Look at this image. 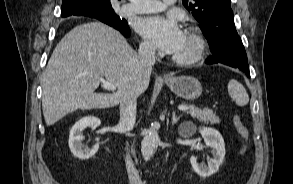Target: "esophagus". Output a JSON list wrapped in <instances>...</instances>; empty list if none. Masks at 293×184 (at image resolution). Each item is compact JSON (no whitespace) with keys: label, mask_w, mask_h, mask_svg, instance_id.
<instances>
[{"label":"esophagus","mask_w":293,"mask_h":184,"mask_svg":"<svg viewBox=\"0 0 293 184\" xmlns=\"http://www.w3.org/2000/svg\"><path fill=\"white\" fill-rule=\"evenodd\" d=\"M170 76L168 74H164V78L168 79Z\"/></svg>","instance_id":"obj_1"}]
</instances>
